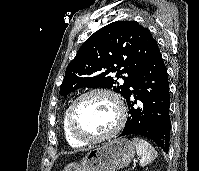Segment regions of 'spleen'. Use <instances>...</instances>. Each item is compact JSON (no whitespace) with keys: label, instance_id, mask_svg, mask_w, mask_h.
Returning a JSON list of instances; mask_svg holds the SVG:
<instances>
[{"label":"spleen","instance_id":"3e777b00","mask_svg":"<svg viewBox=\"0 0 199 171\" xmlns=\"http://www.w3.org/2000/svg\"><path fill=\"white\" fill-rule=\"evenodd\" d=\"M133 143L136 146V152L140 159V166L144 167L152 162L157 157V152L146 140L142 138H133Z\"/></svg>","mask_w":199,"mask_h":171}]
</instances>
